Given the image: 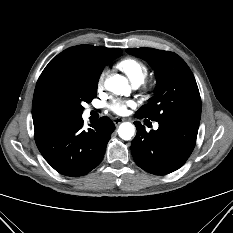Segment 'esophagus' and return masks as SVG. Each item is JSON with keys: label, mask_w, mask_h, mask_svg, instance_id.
<instances>
[{"label": "esophagus", "mask_w": 233, "mask_h": 233, "mask_svg": "<svg viewBox=\"0 0 233 233\" xmlns=\"http://www.w3.org/2000/svg\"><path fill=\"white\" fill-rule=\"evenodd\" d=\"M124 121V119L123 118H120V117H114L113 118V122H114V124L117 126V125H119L120 123H122Z\"/></svg>", "instance_id": "34e87169"}]
</instances>
